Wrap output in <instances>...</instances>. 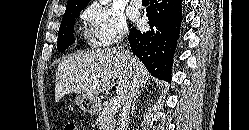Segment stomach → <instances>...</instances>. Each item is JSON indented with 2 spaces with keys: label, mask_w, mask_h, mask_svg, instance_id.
<instances>
[{
  "label": "stomach",
  "mask_w": 249,
  "mask_h": 130,
  "mask_svg": "<svg viewBox=\"0 0 249 130\" xmlns=\"http://www.w3.org/2000/svg\"><path fill=\"white\" fill-rule=\"evenodd\" d=\"M74 103L86 113L96 114L100 108L98 97L81 94L74 99Z\"/></svg>",
  "instance_id": "obj_1"
}]
</instances>
